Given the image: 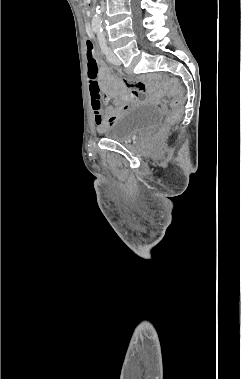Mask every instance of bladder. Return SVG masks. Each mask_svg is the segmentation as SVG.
Masks as SVG:
<instances>
[{
  "label": "bladder",
  "mask_w": 241,
  "mask_h": 379,
  "mask_svg": "<svg viewBox=\"0 0 241 379\" xmlns=\"http://www.w3.org/2000/svg\"><path fill=\"white\" fill-rule=\"evenodd\" d=\"M161 118V112L157 107L138 104L108 125L104 135L110 140L126 143L158 126Z\"/></svg>",
  "instance_id": "bladder-1"
}]
</instances>
